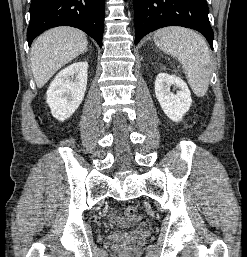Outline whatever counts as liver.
I'll return each instance as SVG.
<instances>
[{"instance_id":"obj_1","label":"liver","mask_w":247,"mask_h":257,"mask_svg":"<svg viewBox=\"0 0 247 257\" xmlns=\"http://www.w3.org/2000/svg\"><path fill=\"white\" fill-rule=\"evenodd\" d=\"M85 33L73 27H56L42 33L31 49V68L42 88L62 66L87 50Z\"/></svg>"}]
</instances>
